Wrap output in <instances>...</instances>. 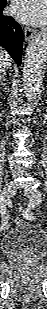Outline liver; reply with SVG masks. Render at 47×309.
<instances>
[{"label":"liver","instance_id":"6515ba94","mask_svg":"<svg viewBox=\"0 0 47 309\" xmlns=\"http://www.w3.org/2000/svg\"><path fill=\"white\" fill-rule=\"evenodd\" d=\"M10 63V66H11V60L10 58L4 53V51L1 49L0 50V67L1 65H4V64H9Z\"/></svg>","mask_w":47,"mask_h":309}]
</instances>
